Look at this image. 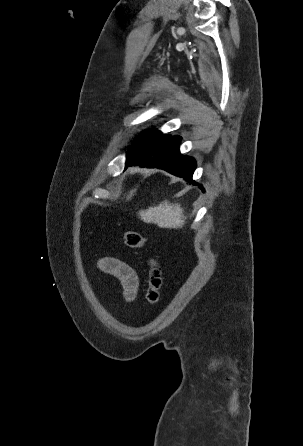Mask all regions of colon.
I'll list each match as a JSON object with an SVG mask.
<instances>
[{
	"mask_svg": "<svg viewBox=\"0 0 303 446\" xmlns=\"http://www.w3.org/2000/svg\"><path fill=\"white\" fill-rule=\"evenodd\" d=\"M124 243L132 249H141L145 245V238L136 231H126L123 236ZM162 286V269L155 258L148 260V278L146 299L149 304L154 305L160 297Z\"/></svg>",
	"mask_w": 303,
	"mask_h": 446,
	"instance_id": "colon-1",
	"label": "colon"
}]
</instances>
